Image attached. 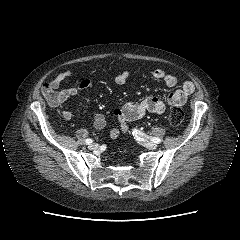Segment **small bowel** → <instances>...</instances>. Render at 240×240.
<instances>
[{"label":"small bowel","instance_id":"c3829d8e","mask_svg":"<svg viewBox=\"0 0 240 240\" xmlns=\"http://www.w3.org/2000/svg\"><path fill=\"white\" fill-rule=\"evenodd\" d=\"M152 75L154 79L162 81L168 87H174L178 83L176 76L163 69H155ZM70 76V71H64L45 84L49 91L55 95L57 100L56 104H52L45 95L51 106L61 105L70 97L77 95L80 91L92 87L91 80L83 79L73 86L59 89L61 83ZM128 76V72H123L114 77V83L117 85H123L127 81ZM194 90V84L190 81H185L179 89L168 94L164 98L159 96H149L140 102L125 103L114 111V117L117 119L119 126L110 131V137L115 139L121 132H127L129 130L128 122L140 119L146 113L162 114L166 109V105L172 107H180L184 105ZM62 117L66 120H71L73 113L68 109H64L62 111ZM93 121L95 128L98 130L103 129L106 124L105 117L99 112L93 114Z\"/></svg>","mask_w":240,"mask_h":240}]
</instances>
